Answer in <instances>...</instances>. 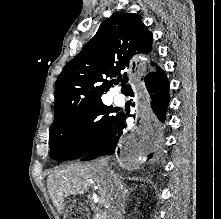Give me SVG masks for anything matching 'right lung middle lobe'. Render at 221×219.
<instances>
[{
  "mask_svg": "<svg viewBox=\"0 0 221 219\" xmlns=\"http://www.w3.org/2000/svg\"><path fill=\"white\" fill-rule=\"evenodd\" d=\"M102 101L79 107L53 122L49 132L50 156L59 161L78 159L97 146L117 114Z\"/></svg>",
  "mask_w": 221,
  "mask_h": 219,
  "instance_id": "obj_1",
  "label": "right lung middle lobe"
}]
</instances>
